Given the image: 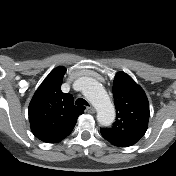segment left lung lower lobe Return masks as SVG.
<instances>
[{
	"label": "left lung lower lobe",
	"instance_id": "1",
	"mask_svg": "<svg viewBox=\"0 0 176 176\" xmlns=\"http://www.w3.org/2000/svg\"><path fill=\"white\" fill-rule=\"evenodd\" d=\"M102 134V133H101ZM102 136L108 140L111 144L115 145V146H119V147H127L126 145H124L123 143L116 141L112 138L107 137L106 135L102 134Z\"/></svg>",
	"mask_w": 176,
	"mask_h": 176
}]
</instances>
